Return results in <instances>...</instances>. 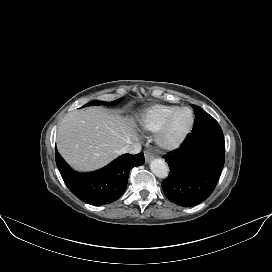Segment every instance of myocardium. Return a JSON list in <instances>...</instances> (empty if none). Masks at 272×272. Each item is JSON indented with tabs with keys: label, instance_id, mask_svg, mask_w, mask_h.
<instances>
[{
	"label": "myocardium",
	"instance_id": "obj_1",
	"mask_svg": "<svg viewBox=\"0 0 272 272\" xmlns=\"http://www.w3.org/2000/svg\"><path fill=\"white\" fill-rule=\"evenodd\" d=\"M186 110L190 113V119L185 128L178 134L172 135L170 132L171 123L180 111ZM194 113L190 107L180 106L174 109L169 116L165 119L162 126L156 133L155 142L157 146L163 150H173L181 145L187 136L190 134L194 125Z\"/></svg>",
	"mask_w": 272,
	"mask_h": 272
}]
</instances>
